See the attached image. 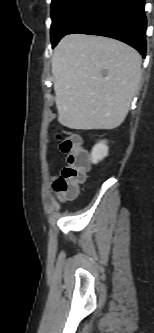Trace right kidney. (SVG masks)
<instances>
[{"instance_id":"ca27d5eb","label":"right kidney","mask_w":154,"mask_h":333,"mask_svg":"<svg viewBox=\"0 0 154 333\" xmlns=\"http://www.w3.org/2000/svg\"><path fill=\"white\" fill-rule=\"evenodd\" d=\"M108 155V146L106 145V141H100L97 143L90 155V160L92 163L97 164L99 161L104 159Z\"/></svg>"}]
</instances>
